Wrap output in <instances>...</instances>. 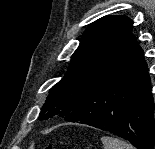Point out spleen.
Masks as SVG:
<instances>
[{
  "mask_svg": "<svg viewBox=\"0 0 155 149\" xmlns=\"http://www.w3.org/2000/svg\"><path fill=\"white\" fill-rule=\"evenodd\" d=\"M101 141L104 149H135L131 144L115 137L104 136Z\"/></svg>",
  "mask_w": 155,
  "mask_h": 149,
  "instance_id": "obj_1",
  "label": "spleen"
}]
</instances>
